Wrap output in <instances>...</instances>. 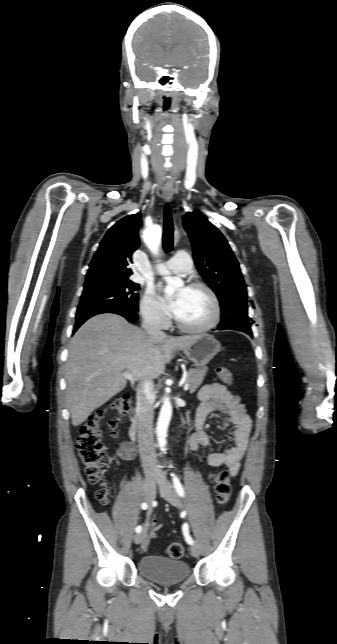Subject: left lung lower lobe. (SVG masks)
<instances>
[{"mask_svg": "<svg viewBox=\"0 0 337 644\" xmlns=\"http://www.w3.org/2000/svg\"><path fill=\"white\" fill-rule=\"evenodd\" d=\"M218 329H219V330H225V329H221V328H218Z\"/></svg>", "mask_w": 337, "mask_h": 644, "instance_id": "left-lung-lower-lobe-1", "label": "left lung lower lobe"}]
</instances>
